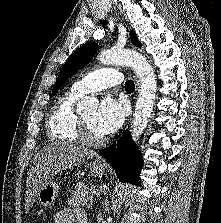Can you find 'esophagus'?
Returning a JSON list of instances; mask_svg holds the SVG:
<instances>
[{
  "mask_svg": "<svg viewBox=\"0 0 221 223\" xmlns=\"http://www.w3.org/2000/svg\"><path fill=\"white\" fill-rule=\"evenodd\" d=\"M135 81H136V85H137V90L139 91V82L137 80V77L135 76Z\"/></svg>",
  "mask_w": 221,
  "mask_h": 223,
  "instance_id": "34e87169",
  "label": "esophagus"
}]
</instances>
